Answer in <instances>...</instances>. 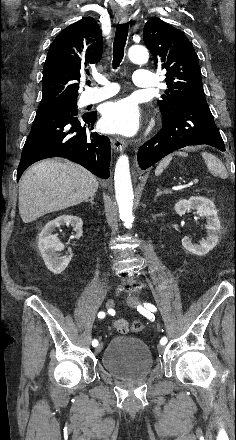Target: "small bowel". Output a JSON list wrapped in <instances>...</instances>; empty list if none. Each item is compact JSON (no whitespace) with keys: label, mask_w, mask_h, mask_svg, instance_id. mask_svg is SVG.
I'll return each mask as SVG.
<instances>
[{"label":"small bowel","mask_w":236,"mask_h":440,"mask_svg":"<svg viewBox=\"0 0 236 440\" xmlns=\"http://www.w3.org/2000/svg\"><path fill=\"white\" fill-rule=\"evenodd\" d=\"M115 327H116L118 330H125L126 327H127V324H126L125 321H121V320H119V321H116V322H115Z\"/></svg>","instance_id":"small-bowel-1"}]
</instances>
